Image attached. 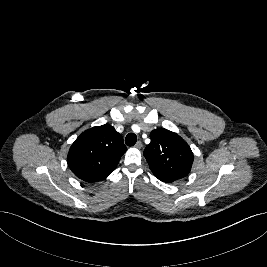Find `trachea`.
<instances>
[{"label":"trachea","instance_id":"trachea-1","mask_svg":"<svg viewBox=\"0 0 267 267\" xmlns=\"http://www.w3.org/2000/svg\"><path fill=\"white\" fill-rule=\"evenodd\" d=\"M137 141V136L134 133H129L125 138V143L127 146H133Z\"/></svg>","mask_w":267,"mask_h":267}]
</instances>
